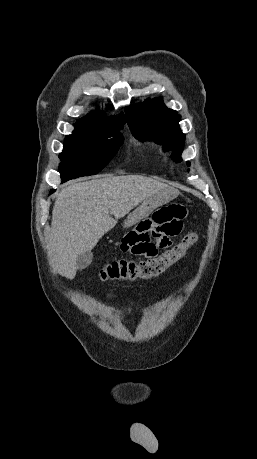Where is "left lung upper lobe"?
<instances>
[{
  "mask_svg": "<svg viewBox=\"0 0 257 459\" xmlns=\"http://www.w3.org/2000/svg\"><path fill=\"white\" fill-rule=\"evenodd\" d=\"M125 112L127 124L136 138L163 144L166 151H172L174 161H181L185 135L179 128L180 117L165 107L161 97L147 100L139 107L126 108Z\"/></svg>",
  "mask_w": 257,
  "mask_h": 459,
  "instance_id": "left-lung-upper-lobe-1",
  "label": "left lung upper lobe"
}]
</instances>
